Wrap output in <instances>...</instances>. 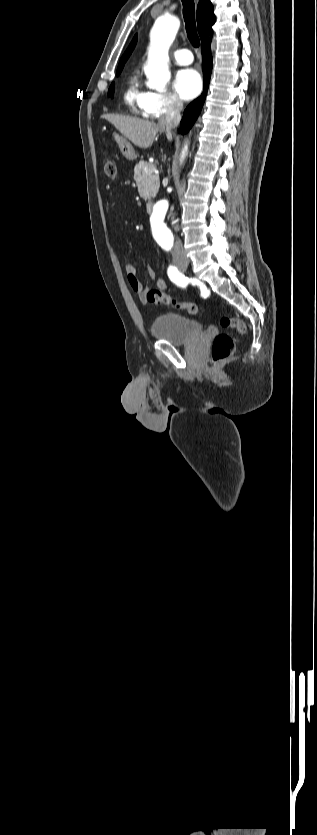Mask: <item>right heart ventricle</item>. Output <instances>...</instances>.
Here are the masks:
<instances>
[{
  "mask_svg": "<svg viewBox=\"0 0 317 835\" xmlns=\"http://www.w3.org/2000/svg\"><path fill=\"white\" fill-rule=\"evenodd\" d=\"M148 91L142 89L139 78L136 74L128 78L124 91V100L131 112L144 114V107L148 97Z\"/></svg>",
  "mask_w": 317,
  "mask_h": 835,
  "instance_id": "right-heart-ventricle-1",
  "label": "right heart ventricle"
}]
</instances>
